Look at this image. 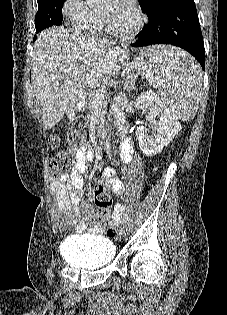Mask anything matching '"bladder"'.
I'll return each instance as SVG.
<instances>
[{"label":"bladder","mask_w":227,"mask_h":315,"mask_svg":"<svg viewBox=\"0 0 227 315\" xmlns=\"http://www.w3.org/2000/svg\"><path fill=\"white\" fill-rule=\"evenodd\" d=\"M63 257L79 269H98L110 265L116 256L115 245L99 235H77L62 247Z\"/></svg>","instance_id":"31cf9c89"}]
</instances>
